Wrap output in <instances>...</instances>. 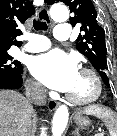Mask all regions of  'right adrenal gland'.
Returning <instances> with one entry per match:
<instances>
[{
	"label": "right adrenal gland",
	"mask_w": 117,
	"mask_h": 136,
	"mask_svg": "<svg viewBox=\"0 0 117 136\" xmlns=\"http://www.w3.org/2000/svg\"><path fill=\"white\" fill-rule=\"evenodd\" d=\"M29 134H30V129L28 130V133H27V135H26V136H29Z\"/></svg>",
	"instance_id": "2a0ac1e0"
}]
</instances>
